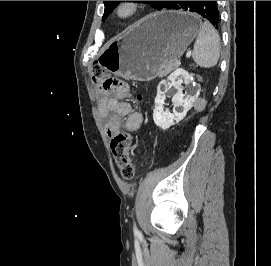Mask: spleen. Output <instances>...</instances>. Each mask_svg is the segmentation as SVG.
Here are the masks:
<instances>
[{"mask_svg":"<svg viewBox=\"0 0 271 266\" xmlns=\"http://www.w3.org/2000/svg\"><path fill=\"white\" fill-rule=\"evenodd\" d=\"M220 48V37L215 28L209 22L202 23L192 52L195 63L203 68L216 66Z\"/></svg>","mask_w":271,"mask_h":266,"instance_id":"obj_1","label":"spleen"}]
</instances>
